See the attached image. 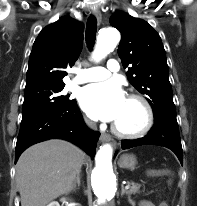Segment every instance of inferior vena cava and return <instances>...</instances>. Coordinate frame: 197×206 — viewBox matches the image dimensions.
I'll use <instances>...</instances> for the list:
<instances>
[{
	"mask_svg": "<svg viewBox=\"0 0 197 206\" xmlns=\"http://www.w3.org/2000/svg\"><path fill=\"white\" fill-rule=\"evenodd\" d=\"M86 123H87L88 127H90L91 129H96V124L94 122L87 121Z\"/></svg>",
	"mask_w": 197,
	"mask_h": 206,
	"instance_id": "obj_1",
	"label": "inferior vena cava"
}]
</instances>
